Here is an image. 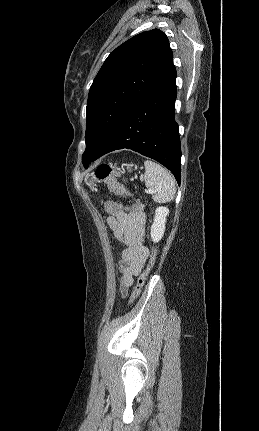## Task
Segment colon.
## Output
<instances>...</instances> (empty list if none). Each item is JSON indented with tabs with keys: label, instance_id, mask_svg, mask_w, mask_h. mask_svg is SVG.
I'll list each match as a JSON object with an SVG mask.
<instances>
[{
	"label": "colon",
	"instance_id": "1",
	"mask_svg": "<svg viewBox=\"0 0 259 431\" xmlns=\"http://www.w3.org/2000/svg\"><path fill=\"white\" fill-rule=\"evenodd\" d=\"M95 176L98 180L105 182L112 193L118 196H127V191L124 187V185L119 181L121 178V174L116 171L109 163H102L99 166H97L95 170ZM145 208V205L142 202H136L134 203H122V201L117 200L114 202L112 201H106L104 203V209L107 212L108 216L114 217L117 216L119 219L125 218V211H142ZM157 249L155 246L151 248L148 262L143 269V271L138 276L137 282L135 284L134 290L132 292L130 303H134L138 297L140 296L142 289L144 287V284L146 282V279L152 270L155 259H156Z\"/></svg>",
	"mask_w": 259,
	"mask_h": 431
}]
</instances>
